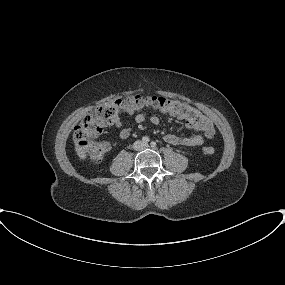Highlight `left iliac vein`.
<instances>
[{
    "label": "left iliac vein",
    "instance_id": "left-iliac-vein-1",
    "mask_svg": "<svg viewBox=\"0 0 285 285\" xmlns=\"http://www.w3.org/2000/svg\"><path fill=\"white\" fill-rule=\"evenodd\" d=\"M143 147L144 148H148L149 146H148V144H144Z\"/></svg>",
    "mask_w": 285,
    "mask_h": 285
}]
</instances>
